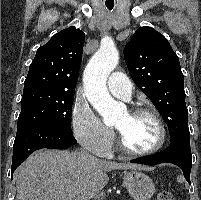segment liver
<instances>
[{"label":"liver","mask_w":201,"mask_h":200,"mask_svg":"<svg viewBox=\"0 0 201 200\" xmlns=\"http://www.w3.org/2000/svg\"><path fill=\"white\" fill-rule=\"evenodd\" d=\"M116 169L146 168L101 160L78 151L42 149L17 169L16 200H89L107 185V172Z\"/></svg>","instance_id":"1"}]
</instances>
